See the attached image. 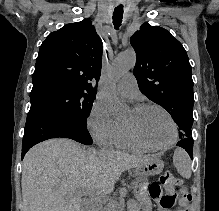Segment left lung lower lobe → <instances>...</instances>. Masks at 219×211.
I'll return each mask as SVG.
<instances>
[{
  "instance_id": "left-lung-lower-lobe-1",
  "label": "left lung lower lobe",
  "mask_w": 219,
  "mask_h": 211,
  "mask_svg": "<svg viewBox=\"0 0 219 211\" xmlns=\"http://www.w3.org/2000/svg\"><path fill=\"white\" fill-rule=\"evenodd\" d=\"M177 146L184 148L191 159H193V139L191 137L183 138L178 143Z\"/></svg>"
}]
</instances>
